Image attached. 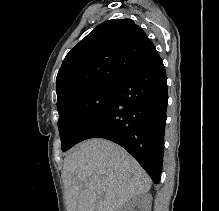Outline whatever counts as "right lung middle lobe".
Wrapping results in <instances>:
<instances>
[{
    "label": "right lung middle lobe",
    "instance_id": "right-lung-middle-lobe-1",
    "mask_svg": "<svg viewBox=\"0 0 219 211\" xmlns=\"http://www.w3.org/2000/svg\"><path fill=\"white\" fill-rule=\"evenodd\" d=\"M116 86H96L57 103L62 150L77 143L82 132L112 100Z\"/></svg>",
    "mask_w": 219,
    "mask_h": 211
}]
</instances>
